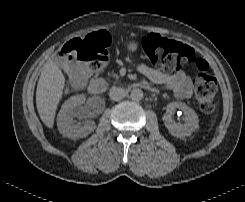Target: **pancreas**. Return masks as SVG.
I'll return each mask as SVG.
<instances>
[{
  "instance_id": "cf45deb5",
  "label": "pancreas",
  "mask_w": 245,
  "mask_h": 202,
  "mask_svg": "<svg viewBox=\"0 0 245 202\" xmlns=\"http://www.w3.org/2000/svg\"><path fill=\"white\" fill-rule=\"evenodd\" d=\"M110 76L114 77L115 79H119V76L116 73H111Z\"/></svg>"
}]
</instances>
